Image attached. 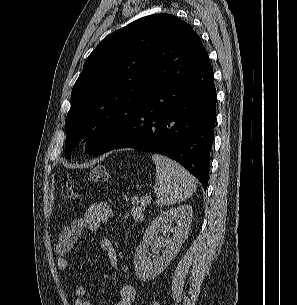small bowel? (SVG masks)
I'll list each match as a JSON object with an SVG mask.
<instances>
[{
  "label": "small bowel",
  "mask_w": 297,
  "mask_h": 305,
  "mask_svg": "<svg viewBox=\"0 0 297 305\" xmlns=\"http://www.w3.org/2000/svg\"><path fill=\"white\" fill-rule=\"evenodd\" d=\"M112 208L107 203L91 204L84 214L64 225L58 233L55 242V252L58 255L57 266L60 271H66L68 261L66 254L71 250L81 235L83 229L99 231L102 226L112 218ZM100 247L105 251L111 267L118 264L117 252L111 241L106 237L99 238ZM85 286L79 285L75 289L76 305H94V302L86 299ZM136 299V289L132 284H124L119 289V298L113 305H132Z\"/></svg>",
  "instance_id": "c3829d8e"
}]
</instances>
